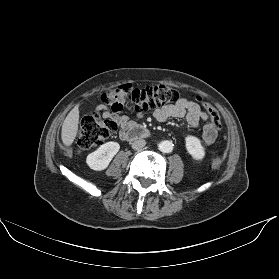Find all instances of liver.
I'll return each instance as SVG.
<instances>
[{
    "label": "liver",
    "mask_w": 279,
    "mask_h": 279,
    "mask_svg": "<svg viewBox=\"0 0 279 279\" xmlns=\"http://www.w3.org/2000/svg\"><path fill=\"white\" fill-rule=\"evenodd\" d=\"M79 104H77L67 115L62 125L61 138L66 147L72 145L78 133Z\"/></svg>",
    "instance_id": "6515ba94"
}]
</instances>
